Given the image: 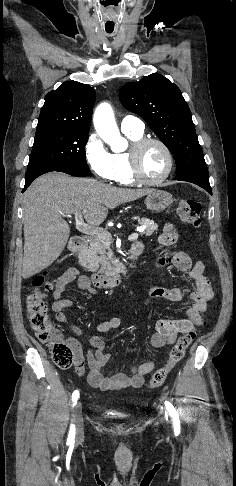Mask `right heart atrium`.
<instances>
[{
  "label": "right heart atrium",
  "mask_w": 236,
  "mask_h": 486,
  "mask_svg": "<svg viewBox=\"0 0 236 486\" xmlns=\"http://www.w3.org/2000/svg\"><path fill=\"white\" fill-rule=\"evenodd\" d=\"M84 156L90 169L97 177L108 181L113 179V155L94 133L89 135L84 145Z\"/></svg>",
  "instance_id": "d8ad5b80"
}]
</instances>
